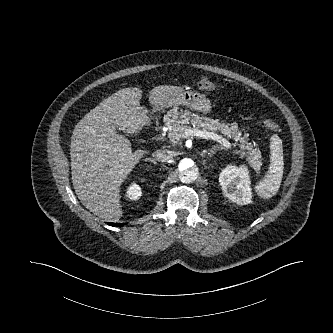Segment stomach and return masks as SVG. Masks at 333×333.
Listing matches in <instances>:
<instances>
[{
  "instance_id": "obj_1",
  "label": "stomach",
  "mask_w": 333,
  "mask_h": 333,
  "mask_svg": "<svg viewBox=\"0 0 333 333\" xmlns=\"http://www.w3.org/2000/svg\"><path fill=\"white\" fill-rule=\"evenodd\" d=\"M177 105H183L204 114L208 113L211 109L210 100L205 95L195 91H182L176 96H170L157 109L162 110Z\"/></svg>"
}]
</instances>
